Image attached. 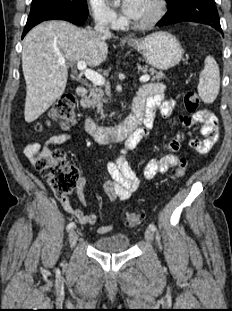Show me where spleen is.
<instances>
[{
  "instance_id": "obj_1",
  "label": "spleen",
  "mask_w": 232,
  "mask_h": 311,
  "mask_svg": "<svg viewBox=\"0 0 232 311\" xmlns=\"http://www.w3.org/2000/svg\"><path fill=\"white\" fill-rule=\"evenodd\" d=\"M220 89L219 66L212 56H207L199 76L198 94L204 103H212Z\"/></svg>"
}]
</instances>
